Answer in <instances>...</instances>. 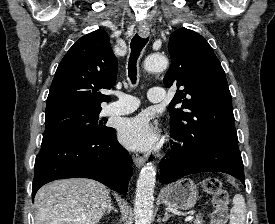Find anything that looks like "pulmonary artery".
Returning <instances> with one entry per match:
<instances>
[{
	"instance_id": "e3ab8cb5",
	"label": "pulmonary artery",
	"mask_w": 275,
	"mask_h": 224,
	"mask_svg": "<svg viewBox=\"0 0 275 224\" xmlns=\"http://www.w3.org/2000/svg\"><path fill=\"white\" fill-rule=\"evenodd\" d=\"M165 97V90L161 87H154L148 91L150 102H160ZM139 107L136 97L128 94H120L118 100L110 103L106 108L108 115H123L133 112Z\"/></svg>"
}]
</instances>
